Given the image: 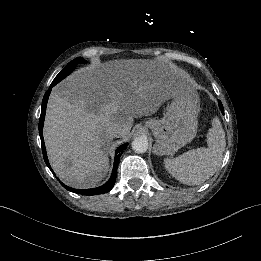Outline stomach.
<instances>
[{
	"mask_svg": "<svg viewBox=\"0 0 261 261\" xmlns=\"http://www.w3.org/2000/svg\"><path fill=\"white\" fill-rule=\"evenodd\" d=\"M161 120L149 119L145 126L152 130L157 155H172L191 142L197 133L200 99L192 86H187L172 96Z\"/></svg>",
	"mask_w": 261,
	"mask_h": 261,
	"instance_id": "stomach-1",
	"label": "stomach"
}]
</instances>
